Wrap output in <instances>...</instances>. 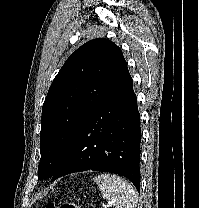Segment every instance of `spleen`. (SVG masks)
<instances>
[{"mask_svg": "<svg viewBox=\"0 0 199 208\" xmlns=\"http://www.w3.org/2000/svg\"><path fill=\"white\" fill-rule=\"evenodd\" d=\"M94 182L114 208H136L138 194L126 180L116 175L100 174L94 177Z\"/></svg>", "mask_w": 199, "mask_h": 208, "instance_id": "3e777b00", "label": "spleen"}]
</instances>
